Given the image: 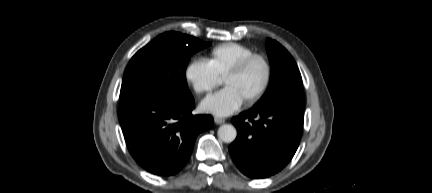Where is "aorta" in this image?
Returning <instances> with one entry per match:
<instances>
[{
	"label": "aorta",
	"mask_w": 432,
	"mask_h": 193,
	"mask_svg": "<svg viewBox=\"0 0 432 193\" xmlns=\"http://www.w3.org/2000/svg\"><path fill=\"white\" fill-rule=\"evenodd\" d=\"M218 138L225 143H231L235 140L237 131L233 125L223 124L217 132Z\"/></svg>",
	"instance_id": "aorta-1"
}]
</instances>
